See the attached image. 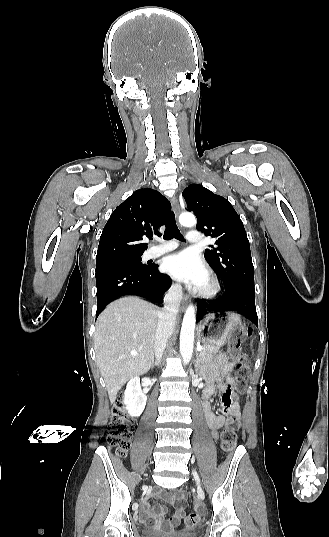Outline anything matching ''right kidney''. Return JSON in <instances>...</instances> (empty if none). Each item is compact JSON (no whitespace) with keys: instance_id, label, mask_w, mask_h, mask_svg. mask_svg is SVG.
Instances as JSON below:
<instances>
[{"instance_id":"obj_1","label":"right kidney","mask_w":329,"mask_h":537,"mask_svg":"<svg viewBox=\"0 0 329 537\" xmlns=\"http://www.w3.org/2000/svg\"><path fill=\"white\" fill-rule=\"evenodd\" d=\"M147 396L142 392L140 378L133 377L124 391V403L131 416H140L145 408Z\"/></svg>"}]
</instances>
